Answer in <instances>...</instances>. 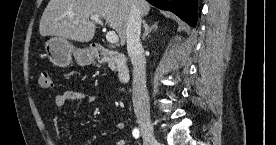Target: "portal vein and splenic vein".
<instances>
[{"instance_id":"portal-vein-and-splenic-vein-1","label":"portal vein and splenic vein","mask_w":276,"mask_h":145,"mask_svg":"<svg viewBox=\"0 0 276 145\" xmlns=\"http://www.w3.org/2000/svg\"><path fill=\"white\" fill-rule=\"evenodd\" d=\"M92 21L100 24V25H103V22L101 21V19L97 16H91L90 17ZM106 40L109 42V43H112V44H115L119 41V37L118 35L116 34L115 31H108L107 34H106Z\"/></svg>"}]
</instances>
